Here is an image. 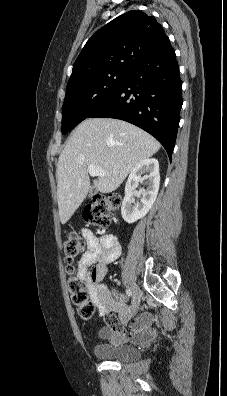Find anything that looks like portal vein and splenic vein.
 <instances>
[{"mask_svg": "<svg viewBox=\"0 0 227 396\" xmlns=\"http://www.w3.org/2000/svg\"><path fill=\"white\" fill-rule=\"evenodd\" d=\"M88 172L91 176H98V177H104L106 175L105 171L102 169L98 168L96 165H89L88 166Z\"/></svg>", "mask_w": 227, "mask_h": 396, "instance_id": "1", "label": "portal vein and splenic vein"}]
</instances>
